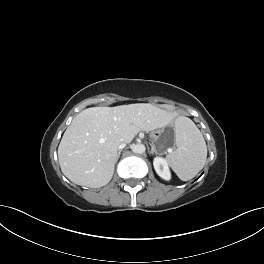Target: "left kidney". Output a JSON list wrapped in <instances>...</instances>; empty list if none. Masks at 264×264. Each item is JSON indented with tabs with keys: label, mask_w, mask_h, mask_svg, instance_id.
Here are the masks:
<instances>
[{
	"label": "left kidney",
	"mask_w": 264,
	"mask_h": 264,
	"mask_svg": "<svg viewBox=\"0 0 264 264\" xmlns=\"http://www.w3.org/2000/svg\"><path fill=\"white\" fill-rule=\"evenodd\" d=\"M153 166L156 173L165 180H170L171 173L168 167L167 161L162 157H155L153 160Z\"/></svg>",
	"instance_id": "left-kidney-1"
}]
</instances>
